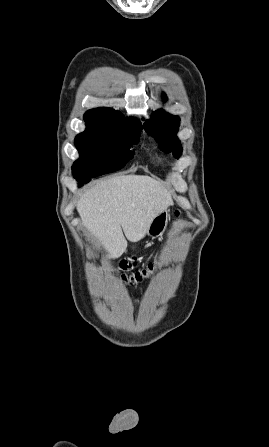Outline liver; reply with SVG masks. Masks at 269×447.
Returning a JSON list of instances; mask_svg holds the SVG:
<instances>
[{
    "instance_id": "liver-1",
    "label": "liver",
    "mask_w": 269,
    "mask_h": 447,
    "mask_svg": "<svg viewBox=\"0 0 269 447\" xmlns=\"http://www.w3.org/2000/svg\"><path fill=\"white\" fill-rule=\"evenodd\" d=\"M173 204L161 182L149 176H116L82 194L77 210L82 224L97 237L108 257H119L129 241L148 233L153 218ZM127 237H124V233Z\"/></svg>"
}]
</instances>
